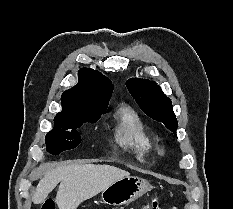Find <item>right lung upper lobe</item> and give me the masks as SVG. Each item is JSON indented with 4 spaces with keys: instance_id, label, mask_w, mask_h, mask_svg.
<instances>
[{
    "instance_id": "cb5924a9",
    "label": "right lung upper lobe",
    "mask_w": 233,
    "mask_h": 209,
    "mask_svg": "<svg viewBox=\"0 0 233 209\" xmlns=\"http://www.w3.org/2000/svg\"><path fill=\"white\" fill-rule=\"evenodd\" d=\"M78 78L79 83L63 93V110L57 115L73 111H106L113 92L112 82L90 68L81 69Z\"/></svg>"
}]
</instances>
